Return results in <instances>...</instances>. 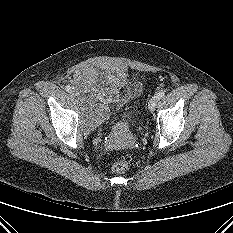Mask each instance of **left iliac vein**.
Instances as JSON below:
<instances>
[{
	"label": "left iliac vein",
	"mask_w": 233,
	"mask_h": 233,
	"mask_svg": "<svg viewBox=\"0 0 233 233\" xmlns=\"http://www.w3.org/2000/svg\"><path fill=\"white\" fill-rule=\"evenodd\" d=\"M157 102H158V100L155 97L150 99V101L148 103V108L150 111H153L155 109Z\"/></svg>",
	"instance_id": "4c4485c4"
}]
</instances>
